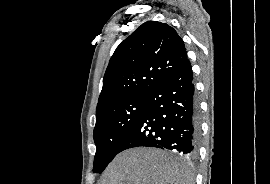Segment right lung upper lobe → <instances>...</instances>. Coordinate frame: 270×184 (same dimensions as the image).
Listing matches in <instances>:
<instances>
[{"label": "right lung upper lobe", "mask_w": 270, "mask_h": 184, "mask_svg": "<svg viewBox=\"0 0 270 184\" xmlns=\"http://www.w3.org/2000/svg\"><path fill=\"white\" fill-rule=\"evenodd\" d=\"M187 59L181 37L165 23L147 21L115 50L106 69L96 118L105 107L147 96Z\"/></svg>", "instance_id": "right-lung-upper-lobe-1"}]
</instances>
